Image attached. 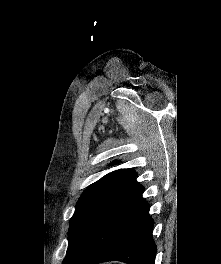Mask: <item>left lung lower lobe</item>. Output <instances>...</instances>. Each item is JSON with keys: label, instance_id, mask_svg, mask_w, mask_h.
<instances>
[{"label": "left lung lower lobe", "instance_id": "1", "mask_svg": "<svg viewBox=\"0 0 221 264\" xmlns=\"http://www.w3.org/2000/svg\"><path fill=\"white\" fill-rule=\"evenodd\" d=\"M140 185L113 208L65 257L62 264H92L121 261L155 264L156 245L151 230L149 205Z\"/></svg>", "mask_w": 221, "mask_h": 264}]
</instances>
